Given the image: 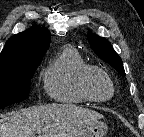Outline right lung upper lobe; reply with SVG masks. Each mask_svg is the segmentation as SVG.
I'll return each mask as SVG.
<instances>
[{
  "mask_svg": "<svg viewBox=\"0 0 144 137\" xmlns=\"http://www.w3.org/2000/svg\"><path fill=\"white\" fill-rule=\"evenodd\" d=\"M51 35L48 29L32 26L12 36L0 53V65L42 60L49 48Z\"/></svg>",
  "mask_w": 144,
  "mask_h": 137,
  "instance_id": "1",
  "label": "right lung upper lobe"
}]
</instances>
